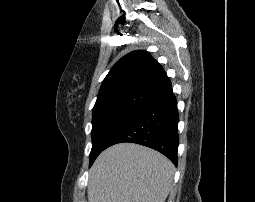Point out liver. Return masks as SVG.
Returning a JSON list of instances; mask_svg holds the SVG:
<instances>
[{"label": "liver", "mask_w": 255, "mask_h": 202, "mask_svg": "<svg viewBox=\"0 0 255 202\" xmlns=\"http://www.w3.org/2000/svg\"><path fill=\"white\" fill-rule=\"evenodd\" d=\"M174 171L173 163L151 148L111 146L90 169L88 202H165Z\"/></svg>", "instance_id": "1"}]
</instances>
